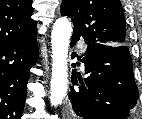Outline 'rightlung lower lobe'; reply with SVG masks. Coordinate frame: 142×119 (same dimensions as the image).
<instances>
[{
    "label": "right lung lower lobe",
    "mask_w": 142,
    "mask_h": 119,
    "mask_svg": "<svg viewBox=\"0 0 142 119\" xmlns=\"http://www.w3.org/2000/svg\"><path fill=\"white\" fill-rule=\"evenodd\" d=\"M36 35L0 47V119L22 116L30 68L38 57Z\"/></svg>",
    "instance_id": "obj_1"
}]
</instances>
